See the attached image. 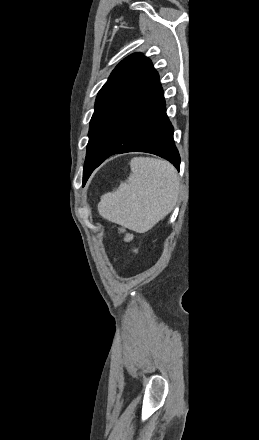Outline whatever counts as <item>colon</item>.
<instances>
[{
	"label": "colon",
	"mask_w": 259,
	"mask_h": 440,
	"mask_svg": "<svg viewBox=\"0 0 259 440\" xmlns=\"http://www.w3.org/2000/svg\"><path fill=\"white\" fill-rule=\"evenodd\" d=\"M120 232L123 234V236H124V240H125L127 243H131V242H132V240H133V236H132L131 233L127 232V231L124 230V229H120ZM133 251H135V249H133Z\"/></svg>",
	"instance_id": "obj_1"
}]
</instances>
